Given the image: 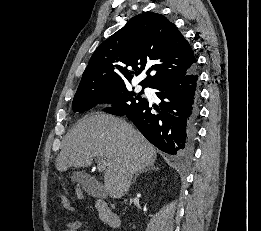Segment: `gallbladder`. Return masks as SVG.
<instances>
[{
    "label": "gallbladder",
    "mask_w": 261,
    "mask_h": 231,
    "mask_svg": "<svg viewBox=\"0 0 261 231\" xmlns=\"http://www.w3.org/2000/svg\"><path fill=\"white\" fill-rule=\"evenodd\" d=\"M71 180L79 183L90 194H97L99 196H104L105 194L102 186L84 171L73 172Z\"/></svg>",
    "instance_id": "1"
}]
</instances>
